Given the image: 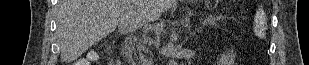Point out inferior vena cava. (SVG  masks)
<instances>
[{"instance_id": "inferior-vena-cava-1", "label": "inferior vena cava", "mask_w": 309, "mask_h": 65, "mask_svg": "<svg viewBox=\"0 0 309 65\" xmlns=\"http://www.w3.org/2000/svg\"><path fill=\"white\" fill-rule=\"evenodd\" d=\"M141 63L142 65H153L152 59H148V58H142Z\"/></svg>"}]
</instances>
